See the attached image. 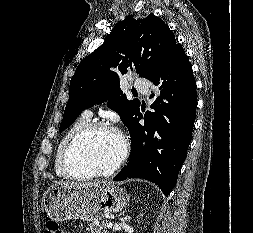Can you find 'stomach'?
Returning a JSON list of instances; mask_svg holds the SVG:
<instances>
[{
	"label": "stomach",
	"mask_w": 253,
	"mask_h": 233,
	"mask_svg": "<svg viewBox=\"0 0 253 233\" xmlns=\"http://www.w3.org/2000/svg\"><path fill=\"white\" fill-rule=\"evenodd\" d=\"M127 204L125 192L112 184L75 188L53 184L42 197V209L51 220H101L105 215L122 211Z\"/></svg>",
	"instance_id": "1"
}]
</instances>
